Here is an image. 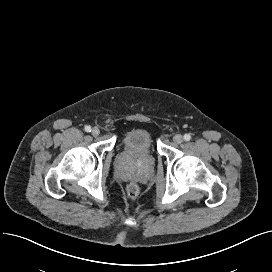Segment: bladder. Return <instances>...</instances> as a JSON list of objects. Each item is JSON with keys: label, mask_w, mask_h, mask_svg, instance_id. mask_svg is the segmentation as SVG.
Returning a JSON list of instances; mask_svg holds the SVG:
<instances>
[{"label": "bladder", "mask_w": 272, "mask_h": 272, "mask_svg": "<svg viewBox=\"0 0 272 272\" xmlns=\"http://www.w3.org/2000/svg\"><path fill=\"white\" fill-rule=\"evenodd\" d=\"M123 144L130 150L151 151L154 149L153 133L146 127L132 128L124 134Z\"/></svg>", "instance_id": "1"}]
</instances>
